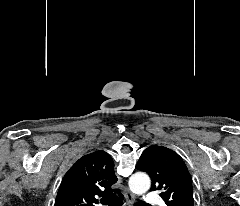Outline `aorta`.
Wrapping results in <instances>:
<instances>
[{
	"label": "aorta",
	"instance_id": "obj_1",
	"mask_svg": "<svg viewBox=\"0 0 240 206\" xmlns=\"http://www.w3.org/2000/svg\"><path fill=\"white\" fill-rule=\"evenodd\" d=\"M129 188L135 194H144L150 188V178L147 174L137 172L129 179Z\"/></svg>",
	"mask_w": 240,
	"mask_h": 206
}]
</instances>
